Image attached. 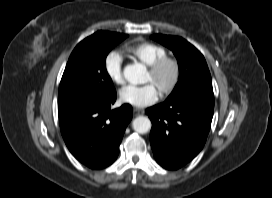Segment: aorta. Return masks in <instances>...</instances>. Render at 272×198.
Returning <instances> with one entry per match:
<instances>
[{
	"instance_id": "obj_1",
	"label": "aorta",
	"mask_w": 272,
	"mask_h": 198,
	"mask_svg": "<svg viewBox=\"0 0 272 198\" xmlns=\"http://www.w3.org/2000/svg\"><path fill=\"white\" fill-rule=\"evenodd\" d=\"M125 79L131 84L143 83L147 74L146 67L140 63L129 64L123 71ZM133 129L140 134L147 133L151 128V121L148 117L139 116L132 122Z\"/></svg>"
}]
</instances>
